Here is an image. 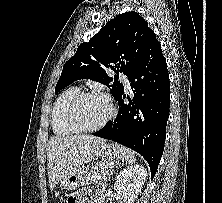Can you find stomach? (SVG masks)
<instances>
[{
	"mask_svg": "<svg viewBox=\"0 0 222 203\" xmlns=\"http://www.w3.org/2000/svg\"><path fill=\"white\" fill-rule=\"evenodd\" d=\"M126 157V148L120 144L111 142L100 144L94 153V158L102 160H124ZM88 173V167L83 165L71 171L63 180L62 186L66 190H75L81 184H85V178Z\"/></svg>",
	"mask_w": 222,
	"mask_h": 203,
	"instance_id": "1",
	"label": "stomach"
}]
</instances>
